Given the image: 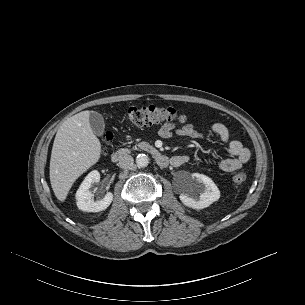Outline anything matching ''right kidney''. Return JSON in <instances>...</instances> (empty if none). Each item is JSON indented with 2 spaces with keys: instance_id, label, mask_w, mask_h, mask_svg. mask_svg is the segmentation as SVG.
Returning <instances> with one entry per match:
<instances>
[{
  "instance_id": "right-kidney-1",
  "label": "right kidney",
  "mask_w": 305,
  "mask_h": 305,
  "mask_svg": "<svg viewBox=\"0 0 305 305\" xmlns=\"http://www.w3.org/2000/svg\"><path fill=\"white\" fill-rule=\"evenodd\" d=\"M100 181V173L97 170L91 171L84 179L76 192L77 207L86 212H100L105 210L113 200V194L107 193L101 200L94 201L93 194L89 190L91 185Z\"/></svg>"
}]
</instances>
